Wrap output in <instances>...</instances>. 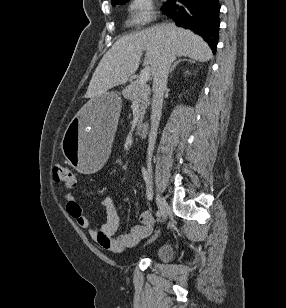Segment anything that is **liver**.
Segmentation results:
<instances>
[{
  "instance_id": "1",
  "label": "liver",
  "mask_w": 286,
  "mask_h": 308,
  "mask_svg": "<svg viewBox=\"0 0 286 308\" xmlns=\"http://www.w3.org/2000/svg\"><path fill=\"white\" fill-rule=\"evenodd\" d=\"M175 56L190 57L199 62L212 58L207 43L192 31L175 25H156L118 39L102 57L93 73L86 97L95 102L111 88L124 84L139 67L143 51L144 64L154 74L167 49Z\"/></svg>"
}]
</instances>
